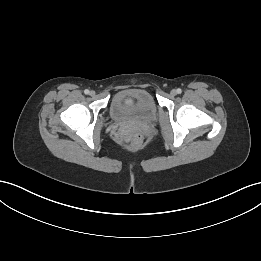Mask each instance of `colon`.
<instances>
[{"label": "colon", "instance_id": "colon-1", "mask_svg": "<svg viewBox=\"0 0 261 261\" xmlns=\"http://www.w3.org/2000/svg\"><path fill=\"white\" fill-rule=\"evenodd\" d=\"M140 139H141V137H140L139 134L134 133V134L132 135V140H133L134 142L138 143V142L140 141Z\"/></svg>", "mask_w": 261, "mask_h": 261}]
</instances>
